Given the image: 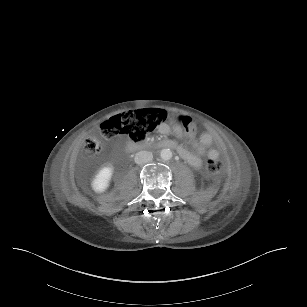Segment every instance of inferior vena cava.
<instances>
[{
	"label": "inferior vena cava",
	"instance_id": "inferior-vena-cava-1",
	"mask_svg": "<svg viewBox=\"0 0 307 307\" xmlns=\"http://www.w3.org/2000/svg\"><path fill=\"white\" fill-rule=\"evenodd\" d=\"M153 159V154L150 151H139L134 157V161L138 165H143L151 162Z\"/></svg>",
	"mask_w": 307,
	"mask_h": 307
}]
</instances>
